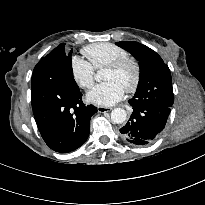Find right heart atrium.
I'll return each mask as SVG.
<instances>
[{
    "label": "right heart atrium",
    "mask_w": 205,
    "mask_h": 205,
    "mask_svg": "<svg viewBox=\"0 0 205 205\" xmlns=\"http://www.w3.org/2000/svg\"><path fill=\"white\" fill-rule=\"evenodd\" d=\"M70 74L74 83L81 89H90L94 83V69L86 60L78 56L71 58Z\"/></svg>",
    "instance_id": "right-heart-atrium-1"
}]
</instances>
